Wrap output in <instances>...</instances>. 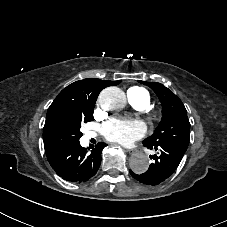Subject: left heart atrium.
Masks as SVG:
<instances>
[{"label": "left heart atrium", "mask_w": 227, "mask_h": 227, "mask_svg": "<svg viewBox=\"0 0 227 227\" xmlns=\"http://www.w3.org/2000/svg\"><path fill=\"white\" fill-rule=\"evenodd\" d=\"M102 131L108 141L121 145H130L143 138L147 128L140 119L110 118L103 124Z\"/></svg>", "instance_id": "39dd6f15"}]
</instances>
